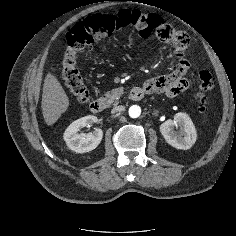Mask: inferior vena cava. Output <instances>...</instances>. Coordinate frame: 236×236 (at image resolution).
<instances>
[{"mask_svg":"<svg viewBox=\"0 0 236 236\" xmlns=\"http://www.w3.org/2000/svg\"><path fill=\"white\" fill-rule=\"evenodd\" d=\"M124 110H125V107L122 105H119V106L114 107L111 112L116 113V112H122Z\"/></svg>","mask_w":236,"mask_h":236,"instance_id":"602c4592","label":"inferior vena cava"}]
</instances>
